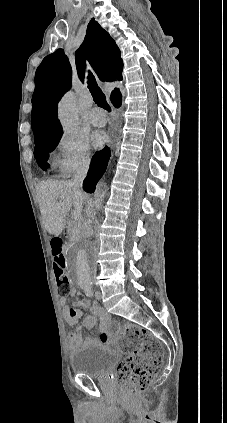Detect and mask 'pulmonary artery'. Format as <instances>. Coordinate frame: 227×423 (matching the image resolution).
Segmentation results:
<instances>
[{"label": "pulmonary artery", "instance_id": "1", "mask_svg": "<svg viewBox=\"0 0 227 423\" xmlns=\"http://www.w3.org/2000/svg\"><path fill=\"white\" fill-rule=\"evenodd\" d=\"M88 121L95 127H104L107 123L106 115L101 108L94 107L88 112Z\"/></svg>", "mask_w": 227, "mask_h": 423}]
</instances>
